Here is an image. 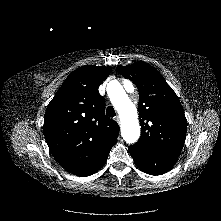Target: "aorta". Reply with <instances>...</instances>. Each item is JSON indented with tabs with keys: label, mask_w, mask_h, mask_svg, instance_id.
<instances>
[{
	"label": "aorta",
	"mask_w": 221,
	"mask_h": 221,
	"mask_svg": "<svg viewBox=\"0 0 221 221\" xmlns=\"http://www.w3.org/2000/svg\"><path fill=\"white\" fill-rule=\"evenodd\" d=\"M108 95L119 114L123 139L128 144L135 143L140 136V125L135 105L117 81L109 87Z\"/></svg>",
	"instance_id": "762f6f07"
}]
</instances>
